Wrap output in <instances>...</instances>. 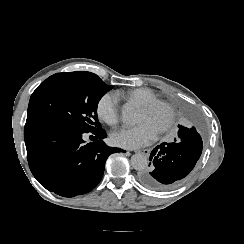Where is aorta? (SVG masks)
<instances>
[{
    "mask_svg": "<svg viewBox=\"0 0 244 244\" xmlns=\"http://www.w3.org/2000/svg\"><path fill=\"white\" fill-rule=\"evenodd\" d=\"M137 113L133 105L126 103L122 108V121L132 126L136 123ZM131 166L138 171L144 170L148 165V159L144 154L136 153L131 157Z\"/></svg>",
    "mask_w": 244,
    "mask_h": 244,
    "instance_id": "1",
    "label": "aorta"
}]
</instances>
